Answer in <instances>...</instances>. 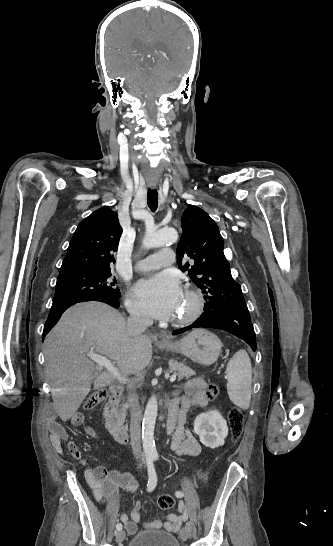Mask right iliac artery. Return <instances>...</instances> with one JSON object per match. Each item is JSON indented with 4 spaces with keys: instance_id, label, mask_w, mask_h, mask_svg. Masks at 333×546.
I'll return each instance as SVG.
<instances>
[{
    "instance_id": "82829eb1",
    "label": "right iliac artery",
    "mask_w": 333,
    "mask_h": 546,
    "mask_svg": "<svg viewBox=\"0 0 333 546\" xmlns=\"http://www.w3.org/2000/svg\"><path fill=\"white\" fill-rule=\"evenodd\" d=\"M147 467H148V476H149L147 490L149 492H151V491L154 490V488L156 487V483H157V476H156L155 468H154V465H153V458H151V457L147 458ZM116 529L118 531L121 530L122 529V524L118 523L116 525Z\"/></svg>"
}]
</instances>
